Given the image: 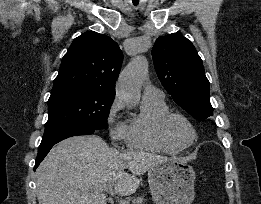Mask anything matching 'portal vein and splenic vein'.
I'll list each match as a JSON object with an SVG mask.
<instances>
[{
  "mask_svg": "<svg viewBox=\"0 0 261 204\" xmlns=\"http://www.w3.org/2000/svg\"><path fill=\"white\" fill-rule=\"evenodd\" d=\"M95 190H100V191H106L108 193H111L112 195L114 194L113 189L111 186H107V185H97L95 188ZM120 204H129L126 200H119Z\"/></svg>",
  "mask_w": 261,
  "mask_h": 204,
  "instance_id": "obj_1",
  "label": "portal vein and splenic vein"
}]
</instances>
